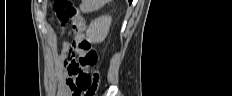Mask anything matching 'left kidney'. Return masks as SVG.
<instances>
[{"mask_svg":"<svg viewBox=\"0 0 232 96\" xmlns=\"http://www.w3.org/2000/svg\"><path fill=\"white\" fill-rule=\"evenodd\" d=\"M112 22L111 16H101L92 21L86 31V38L91 43H101L105 40Z\"/></svg>","mask_w":232,"mask_h":96,"instance_id":"1","label":"left kidney"}]
</instances>
